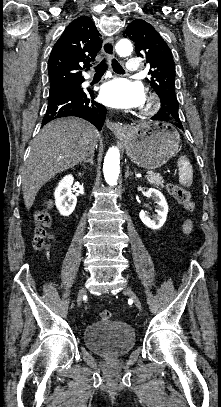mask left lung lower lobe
<instances>
[{"mask_svg": "<svg viewBox=\"0 0 221 407\" xmlns=\"http://www.w3.org/2000/svg\"><path fill=\"white\" fill-rule=\"evenodd\" d=\"M174 118L175 121L177 123H175V125L178 128H182V125L180 124L181 121L180 119L176 116L171 114L170 112L166 111V109H164L163 107L160 109V111L158 112V114L154 115L153 117H151L152 120H161V121H168L170 118Z\"/></svg>", "mask_w": 221, "mask_h": 407, "instance_id": "left-lung-lower-lobe-1", "label": "left lung lower lobe"}]
</instances>
